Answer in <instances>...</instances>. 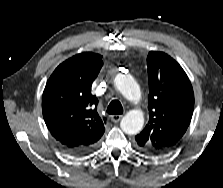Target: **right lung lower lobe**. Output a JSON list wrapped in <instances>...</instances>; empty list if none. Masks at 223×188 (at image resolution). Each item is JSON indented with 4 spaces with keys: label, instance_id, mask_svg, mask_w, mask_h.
<instances>
[{
    "label": "right lung lower lobe",
    "instance_id": "1",
    "mask_svg": "<svg viewBox=\"0 0 223 188\" xmlns=\"http://www.w3.org/2000/svg\"><path fill=\"white\" fill-rule=\"evenodd\" d=\"M67 152L73 154V155H77V156H82V155H86L89 152H91L95 146L92 147H88V148H66L64 146H62Z\"/></svg>",
    "mask_w": 223,
    "mask_h": 188
}]
</instances>
